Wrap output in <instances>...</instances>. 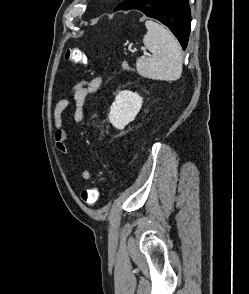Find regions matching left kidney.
Listing matches in <instances>:
<instances>
[{
	"mask_svg": "<svg viewBox=\"0 0 249 294\" xmlns=\"http://www.w3.org/2000/svg\"><path fill=\"white\" fill-rule=\"evenodd\" d=\"M142 102V97L137 93L129 90L119 92L110 108V123L115 128L123 130L135 119L142 107Z\"/></svg>",
	"mask_w": 249,
	"mask_h": 294,
	"instance_id": "5707ae66",
	"label": "left kidney"
}]
</instances>
